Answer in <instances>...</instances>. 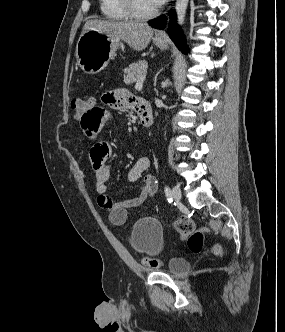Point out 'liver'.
Returning a JSON list of instances; mask_svg holds the SVG:
<instances>
[{
  "label": "liver",
  "mask_w": 285,
  "mask_h": 332,
  "mask_svg": "<svg viewBox=\"0 0 285 332\" xmlns=\"http://www.w3.org/2000/svg\"><path fill=\"white\" fill-rule=\"evenodd\" d=\"M91 29L125 41L136 51L145 49L154 33V30L144 23L91 19L85 23L81 35Z\"/></svg>",
  "instance_id": "liver-1"
}]
</instances>
